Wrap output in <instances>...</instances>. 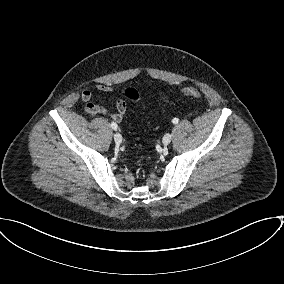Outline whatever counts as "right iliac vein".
Returning <instances> with one entry per match:
<instances>
[{
	"label": "right iliac vein",
	"mask_w": 284,
	"mask_h": 284,
	"mask_svg": "<svg viewBox=\"0 0 284 284\" xmlns=\"http://www.w3.org/2000/svg\"><path fill=\"white\" fill-rule=\"evenodd\" d=\"M114 140H115V142H116L117 144H120V143L122 142V136H121V134L118 133V132H116V133L114 134Z\"/></svg>",
	"instance_id": "right-iliac-vein-1"
}]
</instances>
